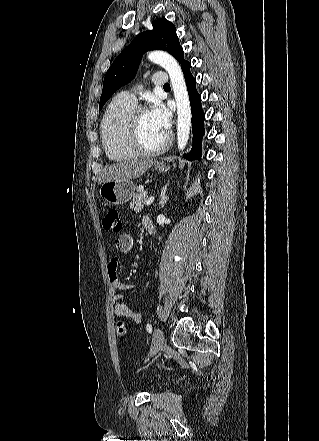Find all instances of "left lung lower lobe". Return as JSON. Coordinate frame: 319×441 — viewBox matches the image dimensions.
Instances as JSON below:
<instances>
[{"label":"left lung lower lobe","mask_w":319,"mask_h":441,"mask_svg":"<svg viewBox=\"0 0 319 441\" xmlns=\"http://www.w3.org/2000/svg\"><path fill=\"white\" fill-rule=\"evenodd\" d=\"M185 77L187 90L189 94L191 113H192V129H193V146L188 155H184L189 160H200L201 158V139L204 134L205 115L201 106V96L196 90V79L190 73L191 63L185 62L182 66Z\"/></svg>","instance_id":"0a47b994"}]
</instances>
